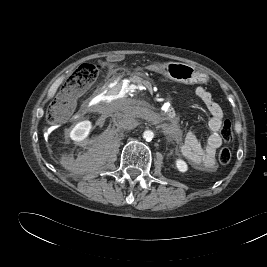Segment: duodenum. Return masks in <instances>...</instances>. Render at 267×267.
Segmentation results:
<instances>
[{"instance_id": "410a0bca", "label": "duodenum", "mask_w": 267, "mask_h": 267, "mask_svg": "<svg viewBox=\"0 0 267 267\" xmlns=\"http://www.w3.org/2000/svg\"><path fill=\"white\" fill-rule=\"evenodd\" d=\"M124 93V86L120 83H113L111 88L106 91V99L108 101H115ZM163 115L167 119H175V111L172 107H167L163 110Z\"/></svg>"}]
</instances>
